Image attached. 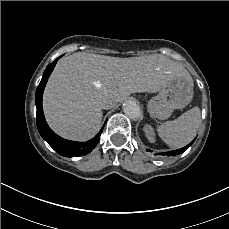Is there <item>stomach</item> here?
<instances>
[{
  "instance_id": "1",
  "label": "stomach",
  "mask_w": 229,
  "mask_h": 229,
  "mask_svg": "<svg viewBox=\"0 0 229 229\" xmlns=\"http://www.w3.org/2000/svg\"><path fill=\"white\" fill-rule=\"evenodd\" d=\"M193 85L184 77L166 82L157 96L149 100L148 112L158 119H167L174 109L187 106L193 98Z\"/></svg>"
}]
</instances>
